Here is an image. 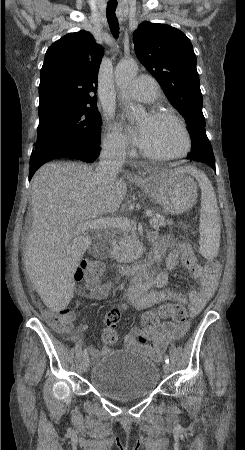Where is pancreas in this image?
Here are the masks:
<instances>
[{
    "mask_svg": "<svg viewBox=\"0 0 245 450\" xmlns=\"http://www.w3.org/2000/svg\"><path fill=\"white\" fill-rule=\"evenodd\" d=\"M150 225L155 230L166 225V220L163 216L154 215L150 220ZM122 235L118 240V245L114 250V258L119 262H131L139 258L138 242L136 230L134 227L122 229Z\"/></svg>",
    "mask_w": 245,
    "mask_h": 450,
    "instance_id": "obj_1",
    "label": "pancreas"
}]
</instances>
